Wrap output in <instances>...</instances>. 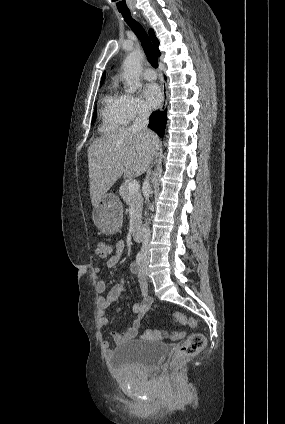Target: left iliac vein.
I'll return each instance as SVG.
<instances>
[{
	"mask_svg": "<svg viewBox=\"0 0 285 424\" xmlns=\"http://www.w3.org/2000/svg\"><path fill=\"white\" fill-rule=\"evenodd\" d=\"M147 261H148V257H147V255H145L142 266H141L142 274L144 276H146V273H147Z\"/></svg>",
	"mask_w": 285,
	"mask_h": 424,
	"instance_id": "left-iliac-vein-1",
	"label": "left iliac vein"
}]
</instances>
